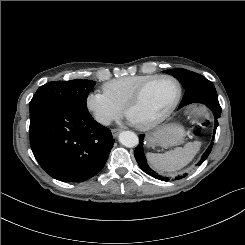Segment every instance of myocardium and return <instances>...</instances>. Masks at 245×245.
<instances>
[{"instance_id": "f54148a6", "label": "myocardium", "mask_w": 245, "mask_h": 245, "mask_svg": "<svg viewBox=\"0 0 245 245\" xmlns=\"http://www.w3.org/2000/svg\"><path fill=\"white\" fill-rule=\"evenodd\" d=\"M162 79H168V80H171V81L176 83L177 95L175 97V100H174L173 104L171 105V107L166 111V113H164L159 118L155 119L154 121H152L150 123L144 124V125H137L138 128L141 130H150V129L156 128L157 126H159L160 124L165 122L173 114V112L176 110L177 106L179 105V102H180L181 97H182V91H183L182 83L175 76L168 75V74H162V75L153 76L150 79L146 80L134 91V93L131 95V97L128 99V101L126 102V104L124 106L125 114L128 115L129 110L139 102V100L141 99L145 89L151 83H153L157 80H162Z\"/></svg>"}]
</instances>
